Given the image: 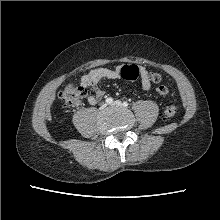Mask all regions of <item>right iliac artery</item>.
Masks as SVG:
<instances>
[{
    "label": "right iliac artery",
    "mask_w": 220,
    "mask_h": 220,
    "mask_svg": "<svg viewBox=\"0 0 220 220\" xmlns=\"http://www.w3.org/2000/svg\"><path fill=\"white\" fill-rule=\"evenodd\" d=\"M106 103L107 104H112L113 103V99L111 97L106 99Z\"/></svg>",
    "instance_id": "1"
}]
</instances>
